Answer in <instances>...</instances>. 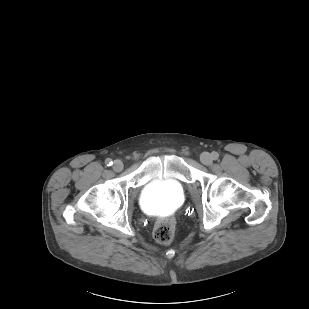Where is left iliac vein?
Wrapping results in <instances>:
<instances>
[{
	"label": "left iliac vein",
	"instance_id": "4c4485c4",
	"mask_svg": "<svg viewBox=\"0 0 309 309\" xmlns=\"http://www.w3.org/2000/svg\"><path fill=\"white\" fill-rule=\"evenodd\" d=\"M200 161L202 162V164L208 166L212 163L213 159H212V156L209 153L204 152L200 156Z\"/></svg>",
	"mask_w": 309,
	"mask_h": 309
}]
</instances>
